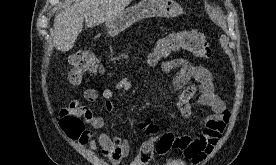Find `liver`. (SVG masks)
<instances>
[{
    "instance_id": "6515ba94",
    "label": "liver",
    "mask_w": 276,
    "mask_h": 165,
    "mask_svg": "<svg viewBox=\"0 0 276 165\" xmlns=\"http://www.w3.org/2000/svg\"><path fill=\"white\" fill-rule=\"evenodd\" d=\"M131 2L132 0H80L67 7L54 19V30L51 33L54 46L59 51H69L81 33L84 22L88 27L107 23Z\"/></svg>"
}]
</instances>
